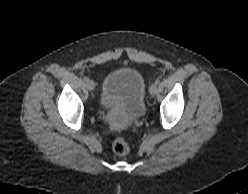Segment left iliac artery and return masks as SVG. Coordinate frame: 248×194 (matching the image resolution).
<instances>
[{"label": "left iliac artery", "instance_id": "left-iliac-artery-1", "mask_svg": "<svg viewBox=\"0 0 248 194\" xmlns=\"http://www.w3.org/2000/svg\"><path fill=\"white\" fill-rule=\"evenodd\" d=\"M155 84L156 85H159L160 84V81L159 80H155Z\"/></svg>", "mask_w": 248, "mask_h": 194}]
</instances>
